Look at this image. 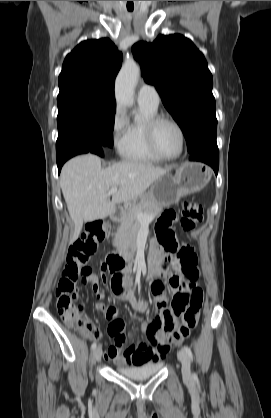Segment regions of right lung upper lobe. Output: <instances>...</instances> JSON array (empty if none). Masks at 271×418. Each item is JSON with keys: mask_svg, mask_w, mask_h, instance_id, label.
I'll use <instances>...</instances> for the list:
<instances>
[{"mask_svg": "<svg viewBox=\"0 0 271 418\" xmlns=\"http://www.w3.org/2000/svg\"><path fill=\"white\" fill-rule=\"evenodd\" d=\"M122 54L108 38L81 42L64 60L57 103L87 101L114 104V81Z\"/></svg>", "mask_w": 271, "mask_h": 418, "instance_id": "right-lung-upper-lobe-1", "label": "right lung upper lobe"}]
</instances>
